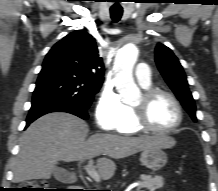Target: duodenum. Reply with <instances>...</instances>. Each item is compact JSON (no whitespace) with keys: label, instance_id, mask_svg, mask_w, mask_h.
Wrapping results in <instances>:
<instances>
[{"label":"duodenum","instance_id":"1","mask_svg":"<svg viewBox=\"0 0 218 191\" xmlns=\"http://www.w3.org/2000/svg\"><path fill=\"white\" fill-rule=\"evenodd\" d=\"M71 191H83L81 186L75 185Z\"/></svg>","mask_w":218,"mask_h":191}]
</instances>
